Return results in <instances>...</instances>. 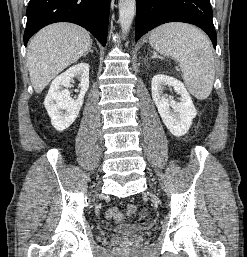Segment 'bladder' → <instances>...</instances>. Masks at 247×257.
<instances>
[{
  "instance_id": "bladder-1",
  "label": "bladder",
  "mask_w": 247,
  "mask_h": 257,
  "mask_svg": "<svg viewBox=\"0 0 247 257\" xmlns=\"http://www.w3.org/2000/svg\"><path fill=\"white\" fill-rule=\"evenodd\" d=\"M147 227L142 224H121L112 229L116 235L132 237L146 232Z\"/></svg>"
}]
</instances>
